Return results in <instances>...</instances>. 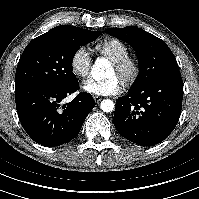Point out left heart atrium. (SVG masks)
Returning <instances> with one entry per match:
<instances>
[{"mask_svg": "<svg viewBox=\"0 0 199 199\" xmlns=\"http://www.w3.org/2000/svg\"><path fill=\"white\" fill-rule=\"evenodd\" d=\"M82 89L98 96L115 95L122 90V82L116 75L100 81L89 79L83 83Z\"/></svg>", "mask_w": 199, "mask_h": 199, "instance_id": "1", "label": "left heart atrium"}]
</instances>
